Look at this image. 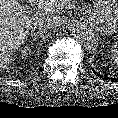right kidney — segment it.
<instances>
[{
    "instance_id": "1",
    "label": "right kidney",
    "mask_w": 118,
    "mask_h": 118,
    "mask_svg": "<svg viewBox=\"0 0 118 118\" xmlns=\"http://www.w3.org/2000/svg\"><path fill=\"white\" fill-rule=\"evenodd\" d=\"M31 50L30 47L25 46L23 50H21L22 57L28 56L30 54Z\"/></svg>"
}]
</instances>
